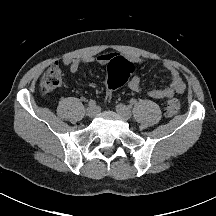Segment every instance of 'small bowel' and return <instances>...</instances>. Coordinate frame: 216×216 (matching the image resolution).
<instances>
[{"mask_svg":"<svg viewBox=\"0 0 216 216\" xmlns=\"http://www.w3.org/2000/svg\"><path fill=\"white\" fill-rule=\"evenodd\" d=\"M118 60H127L133 64L143 62V59L133 54H120L116 52L104 53L97 57H89L86 59H64L63 63L69 67L71 73H76L79 68L85 63H96L98 65L106 66ZM168 72L170 83L165 88H151L148 93L152 98L165 99L181 94L185 91L186 85L181 78L177 69L169 62L163 64ZM141 87V79L138 76L132 77L128 82V88L132 91H139Z\"/></svg>","mask_w":216,"mask_h":216,"instance_id":"small-bowel-1","label":"small bowel"}]
</instances>
